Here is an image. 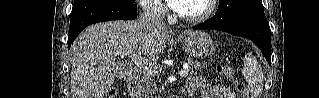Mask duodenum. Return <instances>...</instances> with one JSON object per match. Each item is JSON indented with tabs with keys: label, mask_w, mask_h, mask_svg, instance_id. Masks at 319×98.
<instances>
[{
	"label": "duodenum",
	"mask_w": 319,
	"mask_h": 98,
	"mask_svg": "<svg viewBox=\"0 0 319 98\" xmlns=\"http://www.w3.org/2000/svg\"><path fill=\"white\" fill-rule=\"evenodd\" d=\"M141 80L138 76H135L128 82V91L131 98H139Z\"/></svg>",
	"instance_id": "1"
}]
</instances>
